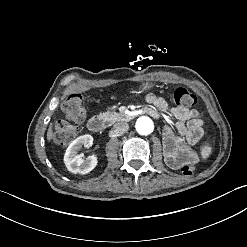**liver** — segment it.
<instances>
[{
  "label": "liver",
  "mask_w": 247,
  "mask_h": 247,
  "mask_svg": "<svg viewBox=\"0 0 247 247\" xmlns=\"http://www.w3.org/2000/svg\"><path fill=\"white\" fill-rule=\"evenodd\" d=\"M52 138H53V130H52V124H50L47 131V140L50 141Z\"/></svg>",
  "instance_id": "1"
}]
</instances>
